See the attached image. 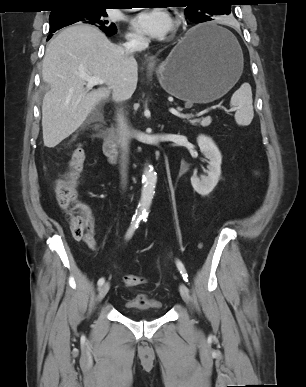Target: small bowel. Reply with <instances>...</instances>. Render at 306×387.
<instances>
[{"mask_svg":"<svg viewBox=\"0 0 306 387\" xmlns=\"http://www.w3.org/2000/svg\"><path fill=\"white\" fill-rule=\"evenodd\" d=\"M83 241L88 248H90V249L96 248V241H95L94 234H93L92 230H88L86 235L83 237Z\"/></svg>","mask_w":306,"mask_h":387,"instance_id":"small-bowel-1","label":"small bowel"}]
</instances>
